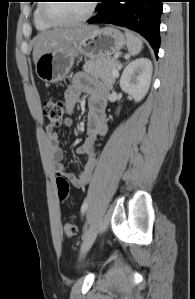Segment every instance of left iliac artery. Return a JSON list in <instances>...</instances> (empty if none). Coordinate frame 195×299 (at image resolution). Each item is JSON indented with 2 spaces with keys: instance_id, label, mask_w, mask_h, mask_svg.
<instances>
[{
  "instance_id": "1",
  "label": "left iliac artery",
  "mask_w": 195,
  "mask_h": 299,
  "mask_svg": "<svg viewBox=\"0 0 195 299\" xmlns=\"http://www.w3.org/2000/svg\"><path fill=\"white\" fill-rule=\"evenodd\" d=\"M88 208V203L84 202L81 206V213L84 214V212L87 210Z\"/></svg>"
}]
</instances>
